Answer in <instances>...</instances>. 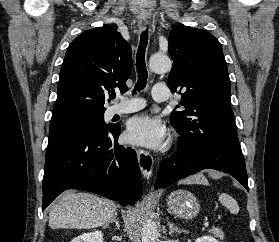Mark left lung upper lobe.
<instances>
[{
	"label": "left lung upper lobe",
	"instance_id": "left-lung-upper-lobe-1",
	"mask_svg": "<svg viewBox=\"0 0 279 242\" xmlns=\"http://www.w3.org/2000/svg\"><path fill=\"white\" fill-rule=\"evenodd\" d=\"M173 67L167 81L182 95V111L171 113L172 126L181 135L178 148L207 147L242 153L230 106V79L223 50L210 33L177 26L169 34Z\"/></svg>",
	"mask_w": 279,
	"mask_h": 242
}]
</instances>
